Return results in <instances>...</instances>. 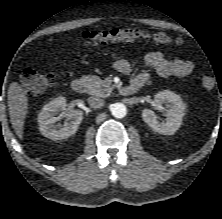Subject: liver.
I'll use <instances>...</instances> for the list:
<instances>
[{"label": "liver", "mask_w": 222, "mask_h": 219, "mask_svg": "<svg viewBox=\"0 0 222 219\" xmlns=\"http://www.w3.org/2000/svg\"><path fill=\"white\" fill-rule=\"evenodd\" d=\"M8 109L10 121L16 135L23 138V127L28 109V98L17 82H12L8 89Z\"/></svg>", "instance_id": "6515ba94"}]
</instances>
